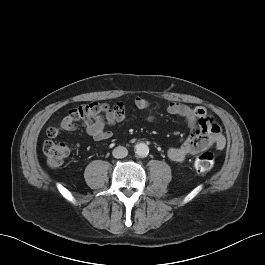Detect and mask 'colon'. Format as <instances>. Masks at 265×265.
Segmentation results:
<instances>
[{"mask_svg":"<svg viewBox=\"0 0 265 265\" xmlns=\"http://www.w3.org/2000/svg\"><path fill=\"white\" fill-rule=\"evenodd\" d=\"M116 111L115 106L107 103H90L81 105L71 110L64 117L58 126H51L47 129V136L50 139L56 138L62 131H69L75 128L76 122H87L89 120L105 117ZM213 133L220 131L218 125H214L211 129ZM43 153L47 164L56 168L61 166L69 155V147L63 142L48 140L44 143ZM215 163V155L212 151H205L198 155L194 161L195 169L199 173H208L212 170Z\"/></svg>","mask_w":265,"mask_h":265,"instance_id":"1","label":"colon"}]
</instances>
